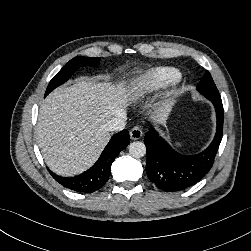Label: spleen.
<instances>
[{
  "label": "spleen",
  "mask_w": 251,
  "mask_h": 251,
  "mask_svg": "<svg viewBox=\"0 0 251 251\" xmlns=\"http://www.w3.org/2000/svg\"><path fill=\"white\" fill-rule=\"evenodd\" d=\"M175 146L177 147V148H180L181 146H182V144L181 143H175Z\"/></svg>",
  "instance_id": "3e777b00"
}]
</instances>
